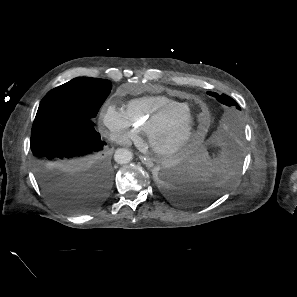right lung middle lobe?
<instances>
[{
	"label": "right lung middle lobe",
	"mask_w": 297,
	"mask_h": 297,
	"mask_svg": "<svg viewBox=\"0 0 297 297\" xmlns=\"http://www.w3.org/2000/svg\"><path fill=\"white\" fill-rule=\"evenodd\" d=\"M111 90L108 80L79 77L54 88L42 99L32 130L62 120H81L91 125Z\"/></svg>",
	"instance_id": "obj_1"
}]
</instances>
